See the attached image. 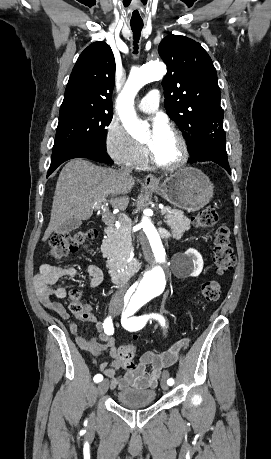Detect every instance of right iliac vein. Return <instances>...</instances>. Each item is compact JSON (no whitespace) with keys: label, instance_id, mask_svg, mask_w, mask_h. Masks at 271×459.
<instances>
[{"label":"right iliac vein","instance_id":"1","mask_svg":"<svg viewBox=\"0 0 271 459\" xmlns=\"http://www.w3.org/2000/svg\"><path fill=\"white\" fill-rule=\"evenodd\" d=\"M120 311H121V308L120 307H116L113 310V315H116ZM108 387H109V380H107V379L103 380L101 383H99L98 386H97L98 395H102V394L106 393L107 390H108Z\"/></svg>","mask_w":271,"mask_h":459}]
</instances>
